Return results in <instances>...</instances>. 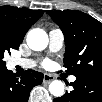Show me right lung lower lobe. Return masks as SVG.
<instances>
[{
  "label": "right lung lower lobe",
  "mask_w": 102,
  "mask_h": 102,
  "mask_svg": "<svg viewBox=\"0 0 102 102\" xmlns=\"http://www.w3.org/2000/svg\"><path fill=\"white\" fill-rule=\"evenodd\" d=\"M43 81V74L34 70L16 75L12 71L0 69V98L3 102H27L30 91Z\"/></svg>",
  "instance_id": "1"
}]
</instances>
